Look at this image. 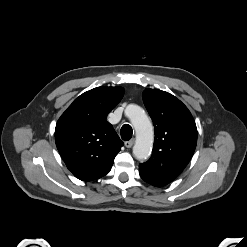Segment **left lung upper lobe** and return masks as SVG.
Wrapping results in <instances>:
<instances>
[{
    "label": "left lung upper lobe",
    "mask_w": 247,
    "mask_h": 247,
    "mask_svg": "<svg viewBox=\"0 0 247 247\" xmlns=\"http://www.w3.org/2000/svg\"><path fill=\"white\" fill-rule=\"evenodd\" d=\"M143 101L155 129L151 158L139 165L140 176L162 187L189 163L197 143V128L187 107L165 91L145 89Z\"/></svg>",
    "instance_id": "1"
}]
</instances>
